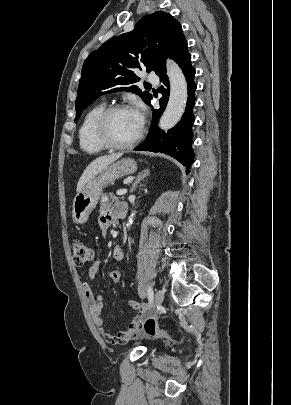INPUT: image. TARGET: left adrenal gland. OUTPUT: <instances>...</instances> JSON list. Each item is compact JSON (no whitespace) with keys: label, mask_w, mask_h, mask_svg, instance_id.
I'll list each match as a JSON object with an SVG mask.
<instances>
[{"label":"left adrenal gland","mask_w":291,"mask_h":405,"mask_svg":"<svg viewBox=\"0 0 291 405\" xmlns=\"http://www.w3.org/2000/svg\"><path fill=\"white\" fill-rule=\"evenodd\" d=\"M149 176V169H144L142 172H139V174L137 175L136 180L134 181V183L132 184L131 187V193L135 191L136 187L138 186V184L140 183L141 180H143L145 177Z\"/></svg>","instance_id":"obj_1"}]
</instances>
